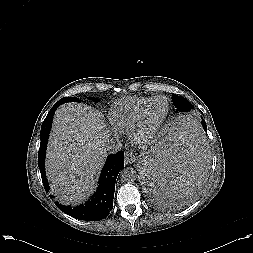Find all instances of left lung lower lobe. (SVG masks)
I'll return each mask as SVG.
<instances>
[{
	"label": "left lung lower lobe",
	"mask_w": 253,
	"mask_h": 253,
	"mask_svg": "<svg viewBox=\"0 0 253 253\" xmlns=\"http://www.w3.org/2000/svg\"><path fill=\"white\" fill-rule=\"evenodd\" d=\"M202 126L207 131L204 120ZM206 166V155L195 143L177 148L173 155L154 154L148 170L143 173L152 203L167 208L191 198L202 181Z\"/></svg>",
	"instance_id": "left-lung-lower-lobe-1"
}]
</instances>
